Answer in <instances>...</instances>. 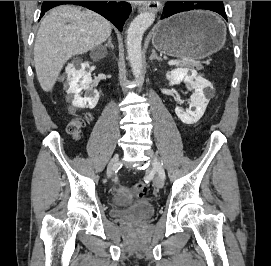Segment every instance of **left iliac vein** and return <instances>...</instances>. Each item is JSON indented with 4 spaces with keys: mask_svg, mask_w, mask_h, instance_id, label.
<instances>
[{
    "mask_svg": "<svg viewBox=\"0 0 271 266\" xmlns=\"http://www.w3.org/2000/svg\"><path fill=\"white\" fill-rule=\"evenodd\" d=\"M146 154L148 155V157L152 161L153 170L157 173V175L154 179V183L157 187L162 188L164 186V179L159 174V168L163 169L162 164L159 162L158 158L156 157V155L154 154V152L152 150H150V149L147 150Z\"/></svg>",
    "mask_w": 271,
    "mask_h": 266,
    "instance_id": "1",
    "label": "left iliac vein"
}]
</instances>
